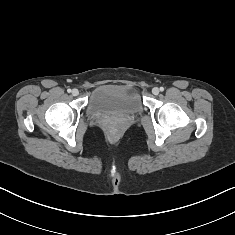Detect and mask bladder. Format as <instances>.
Here are the masks:
<instances>
[{
    "mask_svg": "<svg viewBox=\"0 0 235 235\" xmlns=\"http://www.w3.org/2000/svg\"><path fill=\"white\" fill-rule=\"evenodd\" d=\"M143 110L138 96L128 87L107 85L97 88L91 94L87 113L89 116H130Z\"/></svg>",
    "mask_w": 235,
    "mask_h": 235,
    "instance_id": "bladder-1",
    "label": "bladder"
}]
</instances>
